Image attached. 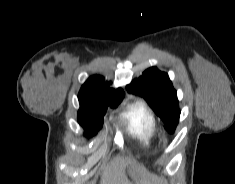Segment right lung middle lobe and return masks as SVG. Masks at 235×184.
Returning <instances> with one entry per match:
<instances>
[{
  "label": "right lung middle lobe",
  "instance_id": "right-lung-middle-lobe-1",
  "mask_svg": "<svg viewBox=\"0 0 235 184\" xmlns=\"http://www.w3.org/2000/svg\"><path fill=\"white\" fill-rule=\"evenodd\" d=\"M118 104L110 105L115 108ZM108 106L90 107L80 103L78 122L85 129L87 136L95 135L102 127L103 116Z\"/></svg>",
  "mask_w": 235,
  "mask_h": 184
}]
</instances>
